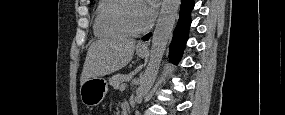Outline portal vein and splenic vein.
<instances>
[{
    "instance_id": "1",
    "label": "portal vein and splenic vein",
    "mask_w": 285,
    "mask_h": 115,
    "mask_svg": "<svg viewBox=\"0 0 285 115\" xmlns=\"http://www.w3.org/2000/svg\"><path fill=\"white\" fill-rule=\"evenodd\" d=\"M125 86H126L125 84H122L121 87H120V89H124Z\"/></svg>"
}]
</instances>
